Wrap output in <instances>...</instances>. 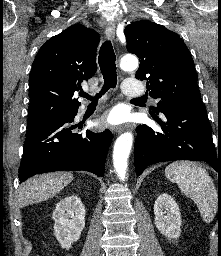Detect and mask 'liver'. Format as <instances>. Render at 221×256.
<instances>
[{"label": "liver", "instance_id": "6515ba94", "mask_svg": "<svg viewBox=\"0 0 221 256\" xmlns=\"http://www.w3.org/2000/svg\"><path fill=\"white\" fill-rule=\"evenodd\" d=\"M71 181H73V174L70 172H53L29 179L19 188V205L23 207L49 199Z\"/></svg>", "mask_w": 221, "mask_h": 256}]
</instances>
